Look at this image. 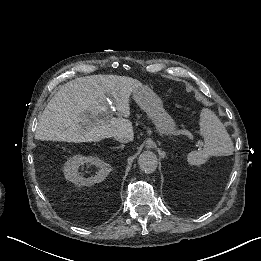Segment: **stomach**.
Returning a JSON list of instances; mask_svg holds the SVG:
<instances>
[{
    "instance_id": "stomach-1",
    "label": "stomach",
    "mask_w": 261,
    "mask_h": 261,
    "mask_svg": "<svg viewBox=\"0 0 261 261\" xmlns=\"http://www.w3.org/2000/svg\"><path fill=\"white\" fill-rule=\"evenodd\" d=\"M132 93L135 102L146 112L161 135H172L175 133V121L165 111L162 100L152 89L142 85Z\"/></svg>"
}]
</instances>
